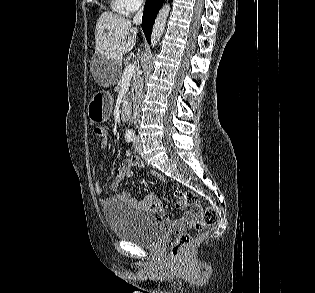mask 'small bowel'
<instances>
[{
  "label": "small bowel",
  "instance_id": "small-bowel-1",
  "mask_svg": "<svg viewBox=\"0 0 315 293\" xmlns=\"http://www.w3.org/2000/svg\"><path fill=\"white\" fill-rule=\"evenodd\" d=\"M108 138L107 136L103 137L100 141V146L102 148H106L108 146ZM143 162L139 157H132V158H126L119 166L115 178L110 186V190L112 192H116L120 185L133 177V168L136 167H142ZM99 169L97 166L93 168L92 174H93V185L95 192L100 195L103 192L101 181L98 177ZM151 176L154 178H157L159 180H163V176L158 172H151ZM114 202H125L130 203L135 206L142 207L149 212H151L156 220L161 222L163 225H165L169 229L174 230H188L189 225L188 223L195 219V213L192 211H185L182 213V215L175 219L171 220L169 219L164 211H163V201L158 196L154 194L148 195L143 200H137L131 196L128 192H121L116 195H112L110 197L102 198L100 200V203L102 206L106 207ZM177 208H183L184 205H182L180 202L176 204Z\"/></svg>",
  "mask_w": 315,
  "mask_h": 293
}]
</instances>
